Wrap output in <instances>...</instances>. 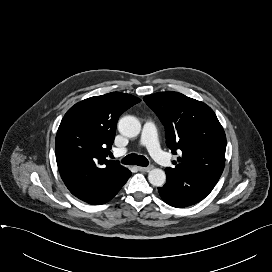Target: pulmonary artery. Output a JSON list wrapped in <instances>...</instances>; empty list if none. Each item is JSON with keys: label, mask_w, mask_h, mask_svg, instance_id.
Masks as SVG:
<instances>
[{"label": "pulmonary artery", "mask_w": 272, "mask_h": 272, "mask_svg": "<svg viewBox=\"0 0 272 272\" xmlns=\"http://www.w3.org/2000/svg\"><path fill=\"white\" fill-rule=\"evenodd\" d=\"M141 144L146 146L152 157L163 166H171L170 157L160 148L157 130L152 121H146L141 134ZM121 150L120 152H124Z\"/></svg>", "instance_id": "obj_1"}]
</instances>
